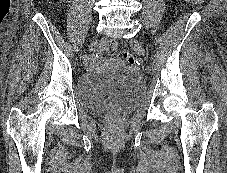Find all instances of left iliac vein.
Wrapping results in <instances>:
<instances>
[{
    "label": "left iliac vein",
    "instance_id": "4c4485c4",
    "mask_svg": "<svg viewBox=\"0 0 227 173\" xmlns=\"http://www.w3.org/2000/svg\"><path fill=\"white\" fill-rule=\"evenodd\" d=\"M131 44L140 55H144L145 54V50H144L143 45L137 39L132 40Z\"/></svg>",
    "mask_w": 227,
    "mask_h": 173
}]
</instances>
